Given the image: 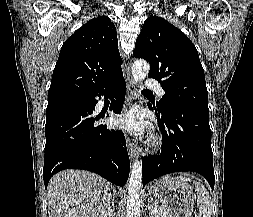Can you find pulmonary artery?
I'll return each instance as SVG.
<instances>
[{
	"label": "pulmonary artery",
	"mask_w": 253,
	"mask_h": 217,
	"mask_svg": "<svg viewBox=\"0 0 253 217\" xmlns=\"http://www.w3.org/2000/svg\"><path fill=\"white\" fill-rule=\"evenodd\" d=\"M146 84L150 89L155 91L159 95V97H161L164 94V90L162 89L161 85L158 82L149 79L147 80Z\"/></svg>",
	"instance_id": "e3ab8cb5"
}]
</instances>
